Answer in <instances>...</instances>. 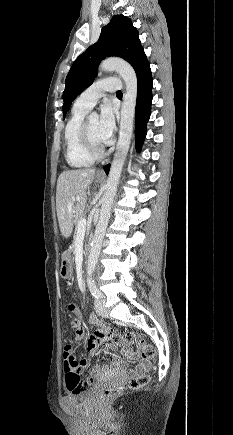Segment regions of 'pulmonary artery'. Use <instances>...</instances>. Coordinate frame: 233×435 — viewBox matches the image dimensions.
Returning <instances> with one entry per match:
<instances>
[{"instance_id": "1", "label": "pulmonary artery", "mask_w": 233, "mask_h": 435, "mask_svg": "<svg viewBox=\"0 0 233 435\" xmlns=\"http://www.w3.org/2000/svg\"><path fill=\"white\" fill-rule=\"evenodd\" d=\"M120 83L119 78H104L95 82L76 98L75 106L89 111L105 92L120 91Z\"/></svg>"}]
</instances>
